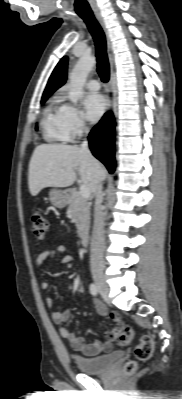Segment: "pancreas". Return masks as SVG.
Segmentation results:
<instances>
[{
	"label": "pancreas",
	"mask_w": 182,
	"mask_h": 399,
	"mask_svg": "<svg viewBox=\"0 0 182 399\" xmlns=\"http://www.w3.org/2000/svg\"><path fill=\"white\" fill-rule=\"evenodd\" d=\"M67 212L76 224L78 236L85 237L90 226V204L76 190L71 191V201Z\"/></svg>",
	"instance_id": "cf45deb5"
}]
</instances>
